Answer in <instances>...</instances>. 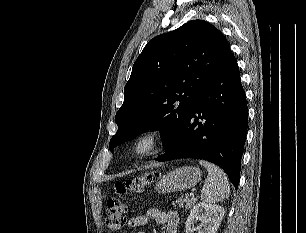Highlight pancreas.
Masks as SVG:
<instances>
[{
    "label": "pancreas",
    "mask_w": 306,
    "mask_h": 233,
    "mask_svg": "<svg viewBox=\"0 0 306 233\" xmlns=\"http://www.w3.org/2000/svg\"><path fill=\"white\" fill-rule=\"evenodd\" d=\"M197 201V198H189L188 196L180 197L176 200L179 207H185L186 209L191 208Z\"/></svg>",
    "instance_id": "1"
}]
</instances>
